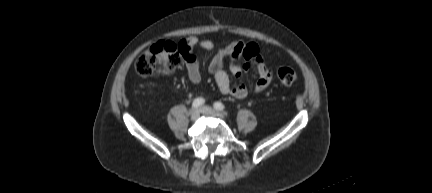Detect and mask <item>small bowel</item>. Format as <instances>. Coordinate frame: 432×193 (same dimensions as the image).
<instances>
[{"label":"small bowel","mask_w":432,"mask_h":193,"mask_svg":"<svg viewBox=\"0 0 432 193\" xmlns=\"http://www.w3.org/2000/svg\"><path fill=\"white\" fill-rule=\"evenodd\" d=\"M178 48L185 61L188 80L194 85L199 84L202 75L194 50L200 48L212 51L214 43L209 39L191 36L182 40ZM225 59H227L228 69L236 78L241 77L252 65L255 66L258 73L255 93L263 92L270 85L273 78L272 70L261 54L259 46L255 43L235 42L220 48L208 66L222 94H229L238 99L248 94V89L244 84L231 85L225 70Z\"/></svg>","instance_id":"1"}]
</instances>
